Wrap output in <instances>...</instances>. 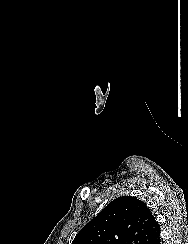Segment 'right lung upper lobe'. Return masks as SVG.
Masks as SVG:
<instances>
[{
	"label": "right lung upper lobe",
	"mask_w": 188,
	"mask_h": 244,
	"mask_svg": "<svg viewBox=\"0 0 188 244\" xmlns=\"http://www.w3.org/2000/svg\"><path fill=\"white\" fill-rule=\"evenodd\" d=\"M158 230L159 224L144 202L122 196L86 224L72 244H148Z\"/></svg>",
	"instance_id": "right-lung-upper-lobe-1"
}]
</instances>
